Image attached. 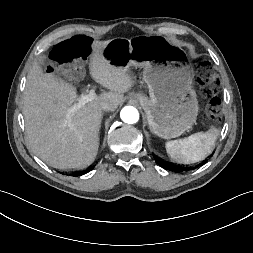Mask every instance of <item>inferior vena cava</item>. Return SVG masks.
I'll list each match as a JSON object with an SVG mask.
<instances>
[{
	"instance_id": "602c4592",
	"label": "inferior vena cava",
	"mask_w": 253,
	"mask_h": 253,
	"mask_svg": "<svg viewBox=\"0 0 253 253\" xmlns=\"http://www.w3.org/2000/svg\"><path fill=\"white\" fill-rule=\"evenodd\" d=\"M102 111H114V106L109 102H103L100 105Z\"/></svg>"
}]
</instances>
